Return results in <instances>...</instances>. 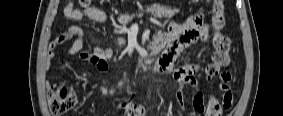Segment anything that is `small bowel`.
I'll use <instances>...</instances> for the list:
<instances>
[{
    "instance_id": "small-bowel-1",
    "label": "small bowel",
    "mask_w": 283,
    "mask_h": 116,
    "mask_svg": "<svg viewBox=\"0 0 283 116\" xmlns=\"http://www.w3.org/2000/svg\"><path fill=\"white\" fill-rule=\"evenodd\" d=\"M64 14L68 19L73 21H81L83 19H90L97 23H106L108 21V15L95 7H90L85 10H78L71 3L64 9ZM208 38V28L204 23L202 13H196L190 16L187 21L181 25L169 24L168 32L163 35L164 43L169 42L171 47L167 50L160 60L158 61L156 68L161 72L171 73L175 80L178 82L180 88L176 93V102L181 112L190 116H210L208 113L207 105L204 103L203 93L197 85L196 75L200 69V65L191 64L183 68L173 71L172 61L175 53L180 49L194 41L205 42ZM74 39L69 48L63 53V58L73 56L81 52L84 48V31L78 25L69 26L64 33L56 38L49 45V51L51 54L61 47L66 41ZM96 55L92 57V55ZM84 61H92L96 64L98 71L105 72L107 70L106 61L111 59L112 52L106 48H94L92 52H83L81 54ZM190 87L193 94V111L186 113L183 106V88ZM220 88L223 92L222 99L232 100V94L230 91V82H225L221 79ZM123 110L124 116H147L149 111L140 104H135L132 98L124 101L120 105Z\"/></svg>"
}]
</instances>
